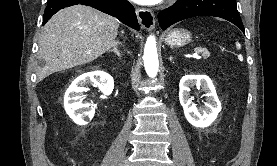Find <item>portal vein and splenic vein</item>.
<instances>
[{"label":"portal vein and splenic vein","mask_w":277,"mask_h":166,"mask_svg":"<svg viewBox=\"0 0 277 166\" xmlns=\"http://www.w3.org/2000/svg\"><path fill=\"white\" fill-rule=\"evenodd\" d=\"M198 53H199V52L196 51V53L193 54V57H194V58H201V56H199ZM202 56H203L204 58H205V57H209V54H208V55L202 54Z\"/></svg>","instance_id":"portal-vein-and-splenic-vein-1"}]
</instances>
